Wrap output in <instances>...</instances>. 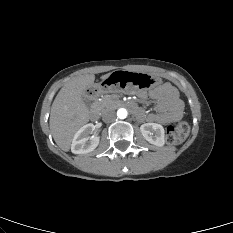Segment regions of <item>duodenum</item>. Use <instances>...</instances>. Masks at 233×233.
Segmentation results:
<instances>
[{"instance_id": "1", "label": "duodenum", "mask_w": 233, "mask_h": 233, "mask_svg": "<svg viewBox=\"0 0 233 233\" xmlns=\"http://www.w3.org/2000/svg\"><path fill=\"white\" fill-rule=\"evenodd\" d=\"M126 106L131 108L132 110L135 111V113H138V110L136 109V107L132 104V103H126ZM90 117L92 120H97L99 117V108L97 105H94L91 110H90Z\"/></svg>"}]
</instances>
